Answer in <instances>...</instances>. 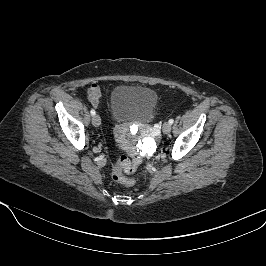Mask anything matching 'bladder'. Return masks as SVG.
I'll use <instances>...</instances> for the list:
<instances>
[{"instance_id": "bladder-1", "label": "bladder", "mask_w": 266, "mask_h": 266, "mask_svg": "<svg viewBox=\"0 0 266 266\" xmlns=\"http://www.w3.org/2000/svg\"><path fill=\"white\" fill-rule=\"evenodd\" d=\"M156 105L157 94L138 85H119L109 98L111 115L116 123L148 122L154 116Z\"/></svg>"}]
</instances>
